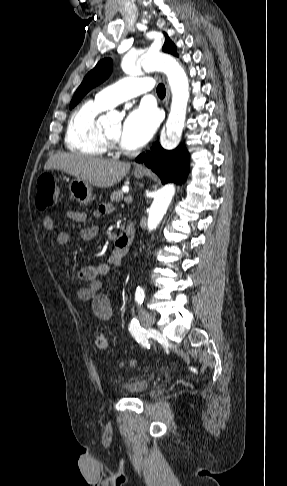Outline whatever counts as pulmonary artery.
Wrapping results in <instances>:
<instances>
[{"label": "pulmonary artery", "mask_w": 287, "mask_h": 486, "mask_svg": "<svg viewBox=\"0 0 287 486\" xmlns=\"http://www.w3.org/2000/svg\"><path fill=\"white\" fill-rule=\"evenodd\" d=\"M153 88L149 77H129L99 91L95 99L106 108L146 93Z\"/></svg>", "instance_id": "e3ab8cb5"}]
</instances>
